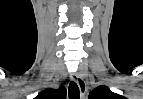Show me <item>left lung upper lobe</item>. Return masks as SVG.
I'll return each instance as SVG.
<instances>
[{"mask_svg":"<svg viewBox=\"0 0 143 99\" xmlns=\"http://www.w3.org/2000/svg\"><path fill=\"white\" fill-rule=\"evenodd\" d=\"M89 99H126L125 97L113 93L107 86L100 85L89 94Z\"/></svg>","mask_w":143,"mask_h":99,"instance_id":"1","label":"left lung upper lobe"}]
</instances>
